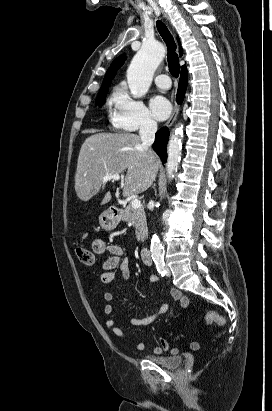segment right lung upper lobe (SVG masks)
I'll return each mask as SVG.
<instances>
[{
  "instance_id": "obj_1",
  "label": "right lung upper lobe",
  "mask_w": 272,
  "mask_h": 411,
  "mask_svg": "<svg viewBox=\"0 0 272 411\" xmlns=\"http://www.w3.org/2000/svg\"><path fill=\"white\" fill-rule=\"evenodd\" d=\"M178 41H179V39H178ZM180 55H182V49H180ZM125 60H126V56H125V54H123V55L119 56L118 58H116L112 62L111 66L109 67V69L106 72V75L104 77L101 89H104L106 86L111 84L112 79L114 78L117 70L124 64ZM185 68H186V66L183 65L181 70H183Z\"/></svg>"
}]
</instances>
